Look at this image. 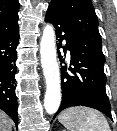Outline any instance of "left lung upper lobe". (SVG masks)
I'll list each match as a JSON object with an SVG mask.
<instances>
[{
	"mask_svg": "<svg viewBox=\"0 0 117 131\" xmlns=\"http://www.w3.org/2000/svg\"><path fill=\"white\" fill-rule=\"evenodd\" d=\"M48 10L61 14L72 29L77 43L98 61L105 62L98 18L90 0H52Z\"/></svg>",
	"mask_w": 117,
	"mask_h": 131,
	"instance_id": "1",
	"label": "left lung upper lobe"
}]
</instances>
